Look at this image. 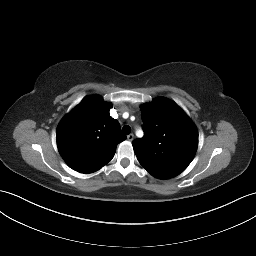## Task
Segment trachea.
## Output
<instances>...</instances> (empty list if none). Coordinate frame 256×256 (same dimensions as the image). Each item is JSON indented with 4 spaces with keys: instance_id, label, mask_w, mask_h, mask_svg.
I'll return each instance as SVG.
<instances>
[{
    "instance_id": "1",
    "label": "trachea",
    "mask_w": 256,
    "mask_h": 256,
    "mask_svg": "<svg viewBox=\"0 0 256 256\" xmlns=\"http://www.w3.org/2000/svg\"><path fill=\"white\" fill-rule=\"evenodd\" d=\"M122 131H123V133H125V134H130L131 128H130V126L125 125V126L122 128Z\"/></svg>"
}]
</instances>
